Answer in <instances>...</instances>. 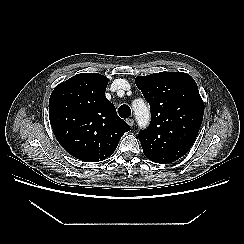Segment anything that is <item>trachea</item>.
<instances>
[{
    "instance_id": "1",
    "label": "trachea",
    "mask_w": 244,
    "mask_h": 244,
    "mask_svg": "<svg viewBox=\"0 0 244 244\" xmlns=\"http://www.w3.org/2000/svg\"><path fill=\"white\" fill-rule=\"evenodd\" d=\"M118 113L121 118L126 119L131 115V109L128 105L123 104L119 107Z\"/></svg>"
}]
</instances>
